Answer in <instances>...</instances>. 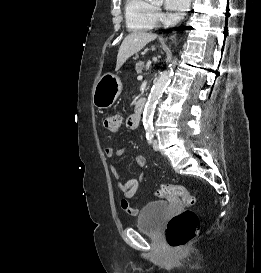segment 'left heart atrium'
<instances>
[{"mask_svg":"<svg viewBox=\"0 0 261 273\" xmlns=\"http://www.w3.org/2000/svg\"><path fill=\"white\" fill-rule=\"evenodd\" d=\"M190 0H165V8L169 11L171 18L179 19L188 7Z\"/></svg>","mask_w":261,"mask_h":273,"instance_id":"left-heart-atrium-1","label":"left heart atrium"}]
</instances>
